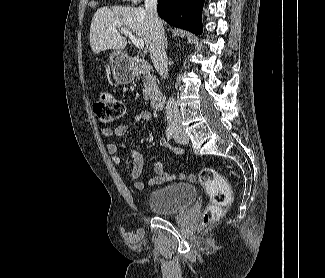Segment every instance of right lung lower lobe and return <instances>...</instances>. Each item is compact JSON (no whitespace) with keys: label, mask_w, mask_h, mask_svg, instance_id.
Here are the masks:
<instances>
[{"label":"right lung lower lobe","mask_w":325,"mask_h":278,"mask_svg":"<svg viewBox=\"0 0 325 278\" xmlns=\"http://www.w3.org/2000/svg\"><path fill=\"white\" fill-rule=\"evenodd\" d=\"M204 0H158L157 11L171 26L202 33L201 12Z\"/></svg>","instance_id":"obj_1"}]
</instances>
